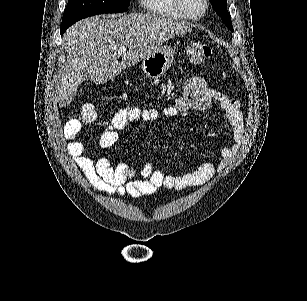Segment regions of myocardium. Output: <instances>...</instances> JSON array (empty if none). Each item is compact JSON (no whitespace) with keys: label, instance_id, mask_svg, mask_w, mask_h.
<instances>
[{"label":"myocardium","instance_id":"obj_1","mask_svg":"<svg viewBox=\"0 0 307 301\" xmlns=\"http://www.w3.org/2000/svg\"><path fill=\"white\" fill-rule=\"evenodd\" d=\"M206 1L200 0L198 4V13H191L190 10L185 9V3L187 0H175L173 2V7H175V17H182L183 22H200V17H202L206 10Z\"/></svg>","mask_w":307,"mask_h":301}]
</instances>
